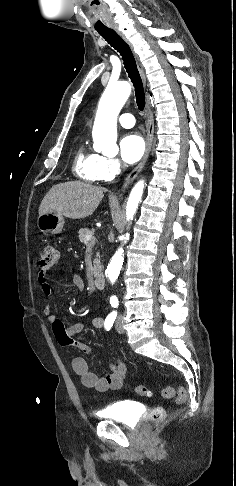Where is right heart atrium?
Masks as SVG:
<instances>
[{
  "label": "right heart atrium",
  "mask_w": 236,
  "mask_h": 486,
  "mask_svg": "<svg viewBox=\"0 0 236 486\" xmlns=\"http://www.w3.org/2000/svg\"><path fill=\"white\" fill-rule=\"evenodd\" d=\"M121 169L119 160L106 156H98L96 174L99 181H110Z\"/></svg>",
  "instance_id": "1"
}]
</instances>
